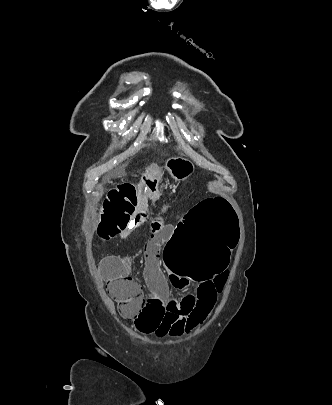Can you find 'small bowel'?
I'll list each match as a JSON object with an SVG mask.
<instances>
[{
	"label": "small bowel",
	"mask_w": 332,
	"mask_h": 405,
	"mask_svg": "<svg viewBox=\"0 0 332 405\" xmlns=\"http://www.w3.org/2000/svg\"><path fill=\"white\" fill-rule=\"evenodd\" d=\"M163 171L158 164H147L142 171L136 197L137 208L133 210L135 216L131 227L121 234L122 238L129 235L130 231L144 222L148 216V206L156 194L159 178ZM101 184H106V179H101ZM166 208H161L159 218L151 224V236L144 247L146 256L145 280L149 293L146 301L141 302L142 311H137L135 327L143 335H154L157 338L179 337L191 331L204 321L211 312L216 293L212 289V280L203 281L197 290L185 295L183 298L172 299L170 287L186 291L190 281H185L184 275H170L167 278L160 269L159 250L168 240H171L173 228L165 221ZM137 223L135 224V221ZM131 260L120 255H107L101 259L99 269L104 277L116 279L124 277L130 271ZM153 291V292H152Z\"/></svg>",
	"instance_id": "1"
}]
</instances>
